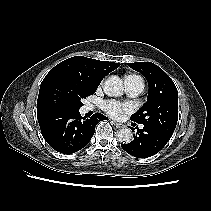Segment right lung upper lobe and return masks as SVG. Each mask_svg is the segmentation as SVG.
<instances>
[{
    "label": "right lung upper lobe",
    "instance_id": "cb5924a9",
    "mask_svg": "<svg viewBox=\"0 0 211 211\" xmlns=\"http://www.w3.org/2000/svg\"><path fill=\"white\" fill-rule=\"evenodd\" d=\"M119 66V63L75 56L52 68L44 80L53 76H64L76 80L88 88L96 89L102 78ZM39 114L41 113L37 110V115Z\"/></svg>",
    "mask_w": 211,
    "mask_h": 211
}]
</instances>
